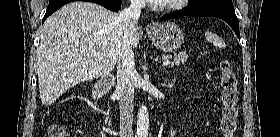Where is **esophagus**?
<instances>
[{"label":"esophagus","instance_id":"esophagus-1","mask_svg":"<svg viewBox=\"0 0 280 137\" xmlns=\"http://www.w3.org/2000/svg\"><path fill=\"white\" fill-rule=\"evenodd\" d=\"M153 30V26L152 25H148L146 28L147 32H151Z\"/></svg>","mask_w":280,"mask_h":137}]
</instances>
